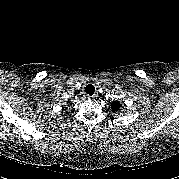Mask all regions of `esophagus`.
<instances>
[{
    "mask_svg": "<svg viewBox=\"0 0 179 179\" xmlns=\"http://www.w3.org/2000/svg\"><path fill=\"white\" fill-rule=\"evenodd\" d=\"M97 97H98L97 94H93L92 96H89V98H91V99H96Z\"/></svg>",
    "mask_w": 179,
    "mask_h": 179,
    "instance_id": "obj_1",
    "label": "esophagus"
}]
</instances>
